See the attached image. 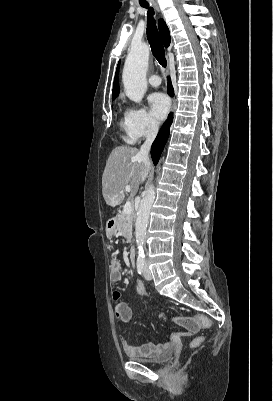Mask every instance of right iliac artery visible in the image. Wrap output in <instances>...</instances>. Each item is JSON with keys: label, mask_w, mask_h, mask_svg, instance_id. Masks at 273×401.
Instances as JSON below:
<instances>
[{"label": "right iliac artery", "mask_w": 273, "mask_h": 401, "mask_svg": "<svg viewBox=\"0 0 273 401\" xmlns=\"http://www.w3.org/2000/svg\"><path fill=\"white\" fill-rule=\"evenodd\" d=\"M144 269V258H138L137 259V271L139 274L143 273Z\"/></svg>", "instance_id": "right-iliac-artery-1"}]
</instances>
